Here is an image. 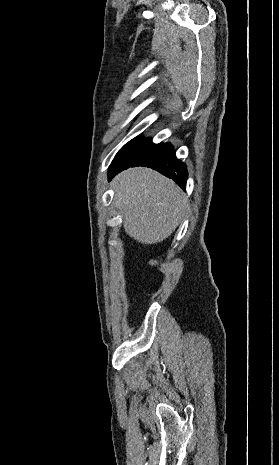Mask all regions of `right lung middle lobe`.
Returning a JSON list of instances; mask_svg holds the SVG:
<instances>
[{
	"mask_svg": "<svg viewBox=\"0 0 279 465\" xmlns=\"http://www.w3.org/2000/svg\"><path fill=\"white\" fill-rule=\"evenodd\" d=\"M173 149L169 144H154L150 139L136 137L119 150L113 159L112 167H123L146 163Z\"/></svg>",
	"mask_w": 279,
	"mask_h": 465,
	"instance_id": "right-lung-middle-lobe-1",
	"label": "right lung middle lobe"
}]
</instances>
